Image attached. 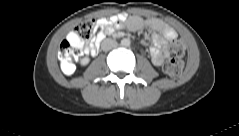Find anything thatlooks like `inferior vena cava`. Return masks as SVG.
<instances>
[{"label":"inferior vena cava","mask_w":239,"mask_h":136,"mask_svg":"<svg viewBox=\"0 0 239 136\" xmlns=\"http://www.w3.org/2000/svg\"><path fill=\"white\" fill-rule=\"evenodd\" d=\"M117 46V42L113 39H105L101 43V49L103 51H109Z\"/></svg>","instance_id":"1"}]
</instances>
